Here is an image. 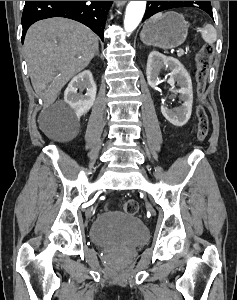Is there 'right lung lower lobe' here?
<instances>
[{
	"instance_id": "98d812e1",
	"label": "right lung lower lobe",
	"mask_w": 237,
	"mask_h": 300,
	"mask_svg": "<svg viewBox=\"0 0 237 300\" xmlns=\"http://www.w3.org/2000/svg\"><path fill=\"white\" fill-rule=\"evenodd\" d=\"M112 1H25L22 15V41L27 29L36 21L65 17L92 29L103 41L108 9Z\"/></svg>"
}]
</instances>
